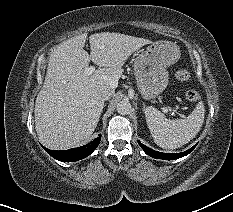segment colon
I'll return each instance as SVG.
<instances>
[{
  "label": "colon",
  "mask_w": 233,
  "mask_h": 212,
  "mask_svg": "<svg viewBox=\"0 0 233 212\" xmlns=\"http://www.w3.org/2000/svg\"><path fill=\"white\" fill-rule=\"evenodd\" d=\"M175 78L178 81H188L190 79V74L186 70H178L175 73ZM185 96H186L187 100H189L191 102H197L200 99L199 93L195 90H192V89L187 90L185 93Z\"/></svg>",
  "instance_id": "colon-1"
}]
</instances>
